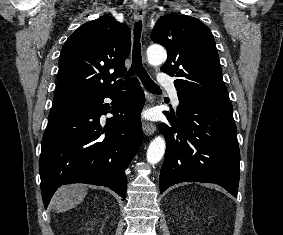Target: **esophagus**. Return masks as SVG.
I'll return each mask as SVG.
<instances>
[{
	"label": "esophagus",
	"instance_id": "34e87169",
	"mask_svg": "<svg viewBox=\"0 0 283 235\" xmlns=\"http://www.w3.org/2000/svg\"><path fill=\"white\" fill-rule=\"evenodd\" d=\"M146 15L145 7L138 5L134 8V18L136 21L143 20ZM150 100V99H149ZM143 131L146 135H152L156 131V125L149 122H143Z\"/></svg>",
	"mask_w": 283,
	"mask_h": 235
}]
</instances>
